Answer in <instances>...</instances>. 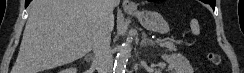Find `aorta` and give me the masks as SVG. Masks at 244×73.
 <instances>
[{
  "mask_svg": "<svg viewBox=\"0 0 244 73\" xmlns=\"http://www.w3.org/2000/svg\"><path fill=\"white\" fill-rule=\"evenodd\" d=\"M131 54V44L130 41L127 40L119 50V53L116 56L114 68V73H125L126 64L128 62V58Z\"/></svg>",
  "mask_w": 244,
  "mask_h": 73,
  "instance_id": "aorta-1",
  "label": "aorta"
}]
</instances>
